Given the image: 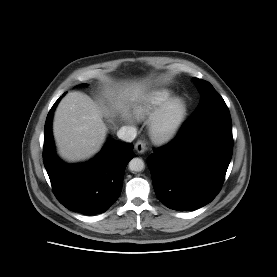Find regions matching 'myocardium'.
Instances as JSON below:
<instances>
[{
	"instance_id": "myocardium-1",
	"label": "myocardium",
	"mask_w": 277,
	"mask_h": 277,
	"mask_svg": "<svg viewBox=\"0 0 277 277\" xmlns=\"http://www.w3.org/2000/svg\"><path fill=\"white\" fill-rule=\"evenodd\" d=\"M176 110L174 119L167 123L170 113ZM188 112V104L184 97L175 96L168 100L150 119L149 134L156 143L172 140L180 131Z\"/></svg>"
}]
</instances>
